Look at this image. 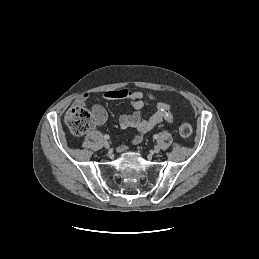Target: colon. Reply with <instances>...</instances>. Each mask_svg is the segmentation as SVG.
Listing matches in <instances>:
<instances>
[{
	"instance_id": "colon-1",
	"label": "colon",
	"mask_w": 259,
	"mask_h": 259,
	"mask_svg": "<svg viewBox=\"0 0 259 259\" xmlns=\"http://www.w3.org/2000/svg\"><path fill=\"white\" fill-rule=\"evenodd\" d=\"M65 123L75 136H81L94 126L91 112L83 105H73L65 114ZM178 131L181 137H190L193 129L187 122H181Z\"/></svg>"
}]
</instances>
